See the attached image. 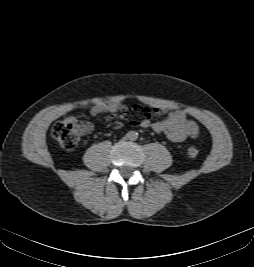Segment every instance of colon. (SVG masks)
<instances>
[{"mask_svg":"<svg viewBox=\"0 0 254 267\" xmlns=\"http://www.w3.org/2000/svg\"><path fill=\"white\" fill-rule=\"evenodd\" d=\"M90 128L87 121L79 120L75 117H68L63 120L57 121L51 130L53 138L66 150L74 149L81 136L86 133ZM190 158H196L199 151L196 147L191 146L187 150Z\"/></svg>","mask_w":254,"mask_h":267,"instance_id":"obj_1","label":"colon"}]
</instances>
